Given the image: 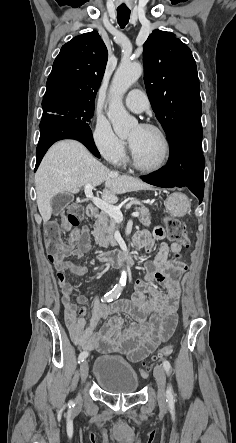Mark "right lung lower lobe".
Instances as JSON below:
<instances>
[{
	"label": "right lung lower lobe",
	"instance_id": "98d812e1",
	"mask_svg": "<svg viewBox=\"0 0 236 443\" xmlns=\"http://www.w3.org/2000/svg\"><path fill=\"white\" fill-rule=\"evenodd\" d=\"M40 139L36 150L37 160L35 170L38 168L48 148L58 140L75 139L83 143L96 157L100 154L94 144L92 132L73 123L71 119L57 114L42 116L40 122Z\"/></svg>",
	"mask_w": 236,
	"mask_h": 443
}]
</instances>
